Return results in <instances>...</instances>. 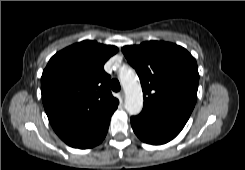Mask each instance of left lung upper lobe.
Segmentation results:
<instances>
[{"label": "left lung upper lobe", "mask_w": 245, "mask_h": 170, "mask_svg": "<svg viewBox=\"0 0 245 170\" xmlns=\"http://www.w3.org/2000/svg\"><path fill=\"white\" fill-rule=\"evenodd\" d=\"M122 52L139 76L142 111L186 124L197 99L195 58L185 48L163 41L124 46Z\"/></svg>", "instance_id": "5c2ea615"}]
</instances>
